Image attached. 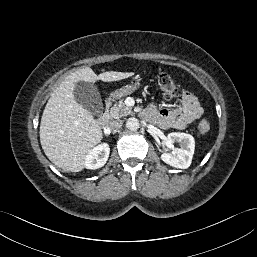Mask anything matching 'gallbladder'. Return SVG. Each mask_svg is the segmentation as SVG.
Wrapping results in <instances>:
<instances>
[{
  "instance_id": "bac80fb5",
  "label": "gallbladder",
  "mask_w": 257,
  "mask_h": 257,
  "mask_svg": "<svg viewBox=\"0 0 257 257\" xmlns=\"http://www.w3.org/2000/svg\"><path fill=\"white\" fill-rule=\"evenodd\" d=\"M76 102L95 116L103 113V103L96 86L90 82L79 81L73 91Z\"/></svg>"
}]
</instances>
